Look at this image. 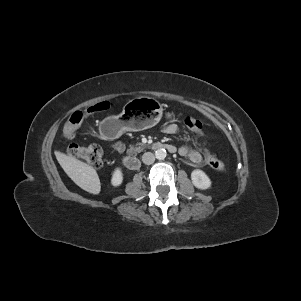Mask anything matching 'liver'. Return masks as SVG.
Listing matches in <instances>:
<instances>
[{
	"label": "liver",
	"instance_id": "6515ba94",
	"mask_svg": "<svg viewBox=\"0 0 301 301\" xmlns=\"http://www.w3.org/2000/svg\"><path fill=\"white\" fill-rule=\"evenodd\" d=\"M55 156L60 166L75 184L89 193L99 194L101 190L100 180L93 167L59 151L55 152Z\"/></svg>",
	"mask_w": 301,
	"mask_h": 301
}]
</instances>
